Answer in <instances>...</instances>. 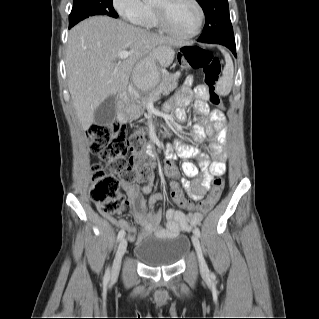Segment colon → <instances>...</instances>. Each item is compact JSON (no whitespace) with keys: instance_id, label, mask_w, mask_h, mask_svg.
<instances>
[{"instance_id":"5ec220e1","label":"colon","mask_w":319,"mask_h":319,"mask_svg":"<svg viewBox=\"0 0 319 319\" xmlns=\"http://www.w3.org/2000/svg\"><path fill=\"white\" fill-rule=\"evenodd\" d=\"M178 63L183 68L203 71L207 98L212 105L221 107L222 102L216 91L221 75L220 60L206 49L186 45L180 50ZM88 138L91 150L99 153L107 164L106 169L98 164L92 167L90 197L101 205L104 213L119 215L127 207V200L119 189V180L132 183L139 178L146 179L151 173L150 162L144 153L145 130L138 128L128 137L124 125L107 122L92 125L88 130ZM223 187L224 179L221 176L212 181L209 197L197 205L201 214L209 212L218 204ZM171 197L181 207L191 206L179 190H172Z\"/></svg>"}]
</instances>
